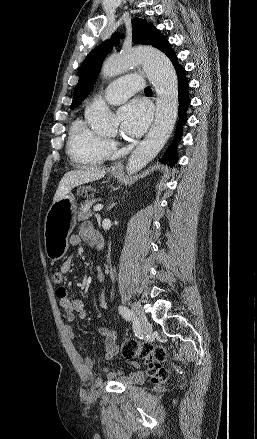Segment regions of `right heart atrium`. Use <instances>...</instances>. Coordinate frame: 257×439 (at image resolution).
<instances>
[{
	"instance_id": "1",
	"label": "right heart atrium",
	"mask_w": 257,
	"mask_h": 439,
	"mask_svg": "<svg viewBox=\"0 0 257 439\" xmlns=\"http://www.w3.org/2000/svg\"><path fill=\"white\" fill-rule=\"evenodd\" d=\"M113 143L110 140L105 141V152L109 154L112 151Z\"/></svg>"
}]
</instances>
